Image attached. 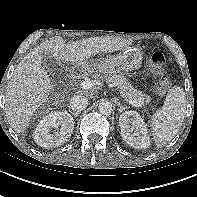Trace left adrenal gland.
<instances>
[{"label": "left adrenal gland", "instance_id": "left-adrenal-gland-1", "mask_svg": "<svg viewBox=\"0 0 197 197\" xmlns=\"http://www.w3.org/2000/svg\"><path fill=\"white\" fill-rule=\"evenodd\" d=\"M119 106V113H122L125 109H127V106H123L121 103H118Z\"/></svg>", "mask_w": 197, "mask_h": 197}]
</instances>
